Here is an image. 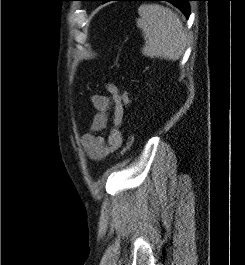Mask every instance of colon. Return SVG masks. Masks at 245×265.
<instances>
[{"label":"colon","instance_id":"colon-1","mask_svg":"<svg viewBox=\"0 0 245 265\" xmlns=\"http://www.w3.org/2000/svg\"><path fill=\"white\" fill-rule=\"evenodd\" d=\"M121 94H122V102H123V104L124 105L130 104V102H131L130 94L127 91H123V92H121ZM132 145H133V137L132 136H128L126 138V141H125L124 147H123V149L121 151V154H125L126 152H128L132 148Z\"/></svg>","mask_w":245,"mask_h":265}]
</instances>
